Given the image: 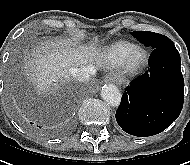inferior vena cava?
<instances>
[{
  "label": "inferior vena cava",
  "mask_w": 190,
  "mask_h": 165,
  "mask_svg": "<svg viewBox=\"0 0 190 165\" xmlns=\"http://www.w3.org/2000/svg\"><path fill=\"white\" fill-rule=\"evenodd\" d=\"M94 68L92 66H80L76 68H71L70 73L78 80V81H88L91 76L94 74Z\"/></svg>",
  "instance_id": "obj_1"
}]
</instances>
